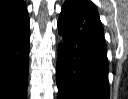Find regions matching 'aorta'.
<instances>
[{
    "label": "aorta",
    "instance_id": "aorta-1",
    "mask_svg": "<svg viewBox=\"0 0 128 99\" xmlns=\"http://www.w3.org/2000/svg\"><path fill=\"white\" fill-rule=\"evenodd\" d=\"M58 43H59V45H63V44H64V32H62V33L58 36Z\"/></svg>",
    "mask_w": 128,
    "mask_h": 99
}]
</instances>
